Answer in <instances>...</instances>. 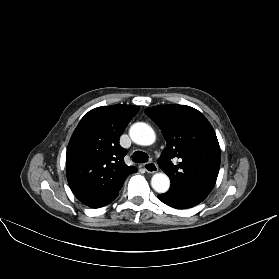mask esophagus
I'll use <instances>...</instances> for the list:
<instances>
[{
  "mask_svg": "<svg viewBox=\"0 0 279 279\" xmlns=\"http://www.w3.org/2000/svg\"><path fill=\"white\" fill-rule=\"evenodd\" d=\"M144 169L148 173H155L158 171V167L154 162H147L143 165Z\"/></svg>",
  "mask_w": 279,
  "mask_h": 279,
  "instance_id": "esophagus-1",
  "label": "esophagus"
}]
</instances>
